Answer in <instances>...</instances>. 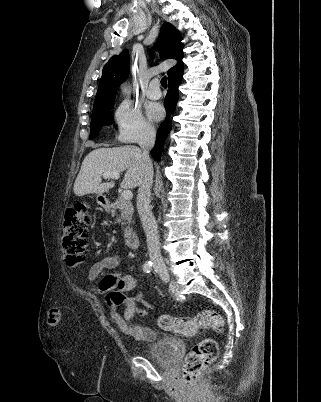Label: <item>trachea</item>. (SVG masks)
<instances>
[{
    "label": "trachea",
    "instance_id": "3493384b",
    "mask_svg": "<svg viewBox=\"0 0 321 402\" xmlns=\"http://www.w3.org/2000/svg\"><path fill=\"white\" fill-rule=\"evenodd\" d=\"M161 85H162L164 88H167V77H166V76L162 77V79H161Z\"/></svg>",
    "mask_w": 321,
    "mask_h": 402
}]
</instances>
